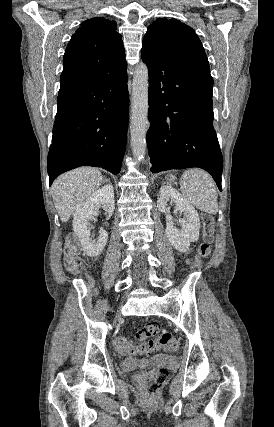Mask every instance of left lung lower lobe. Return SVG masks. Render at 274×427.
I'll use <instances>...</instances> for the list:
<instances>
[{
    "mask_svg": "<svg viewBox=\"0 0 274 427\" xmlns=\"http://www.w3.org/2000/svg\"><path fill=\"white\" fill-rule=\"evenodd\" d=\"M149 71L151 171L199 167L221 191L223 158L213 127L212 77L188 71L148 45L141 50Z\"/></svg>",
    "mask_w": 274,
    "mask_h": 427,
    "instance_id": "1",
    "label": "left lung lower lobe"
}]
</instances>
